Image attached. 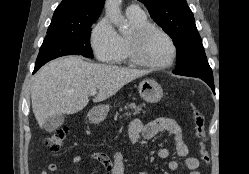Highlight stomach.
Here are the masks:
<instances>
[{"label": "stomach", "instance_id": "obj_1", "mask_svg": "<svg viewBox=\"0 0 249 174\" xmlns=\"http://www.w3.org/2000/svg\"><path fill=\"white\" fill-rule=\"evenodd\" d=\"M140 96L149 103H157L163 97L161 86L152 79H145L138 86ZM109 112L108 105H99L93 108L89 113V119L94 123H99L105 119Z\"/></svg>", "mask_w": 249, "mask_h": 174}]
</instances>
